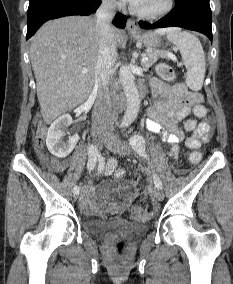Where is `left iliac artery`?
<instances>
[{
    "label": "left iliac artery",
    "mask_w": 233,
    "mask_h": 284,
    "mask_svg": "<svg viewBox=\"0 0 233 284\" xmlns=\"http://www.w3.org/2000/svg\"><path fill=\"white\" fill-rule=\"evenodd\" d=\"M132 148L138 152L140 155L147 158V155L145 154V140L142 136L139 135H133L129 140ZM154 184L157 188H162V182L160 178L155 174L154 175Z\"/></svg>",
    "instance_id": "obj_1"
}]
</instances>
